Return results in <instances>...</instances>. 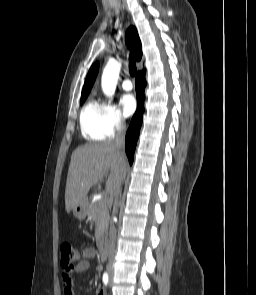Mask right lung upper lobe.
I'll use <instances>...</instances> for the list:
<instances>
[{
	"label": "right lung upper lobe",
	"mask_w": 256,
	"mask_h": 295,
	"mask_svg": "<svg viewBox=\"0 0 256 295\" xmlns=\"http://www.w3.org/2000/svg\"><path fill=\"white\" fill-rule=\"evenodd\" d=\"M126 42L128 46L131 48L132 53L134 57L136 58V60L140 61L142 57V48H141V42H140L137 30L135 27H129L128 30L126 31ZM98 69H99L98 62L94 63L92 67L90 68L83 86L82 95H88L90 93V90L97 76Z\"/></svg>",
	"instance_id": "right-lung-upper-lobe-1"
}]
</instances>
